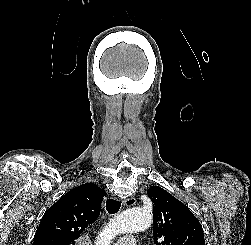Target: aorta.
<instances>
[{
    "mask_svg": "<svg viewBox=\"0 0 251 245\" xmlns=\"http://www.w3.org/2000/svg\"><path fill=\"white\" fill-rule=\"evenodd\" d=\"M152 213L143 208H129L113 218L100 234L96 245H110L119 234L135 233L149 228Z\"/></svg>",
    "mask_w": 251,
    "mask_h": 245,
    "instance_id": "aorta-1",
    "label": "aorta"
}]
</instances>
